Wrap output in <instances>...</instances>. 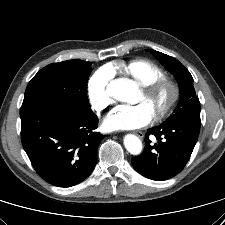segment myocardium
Segmentation results:
<instances>
[{
  "label": "myocardium",
  "instance_id": "f54148a6",
  "mask_svg": "<svg viewBox=\"0 0 225 225\" xmlns=\"http://www.w3.org/2000/svg\"><path fill=\"white\" fill-rule=\"evenodd\" d=\"M141 88L144 96L149 100H155L161 94L166 96L165 100L155 108L154 118L156 121L164 120L173 112L180 96V88L174 80L162 77L141 85Z\"/></svg>",
  "mask_w": 225,
  "mask_h": 225
}]
</instances>
